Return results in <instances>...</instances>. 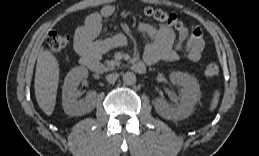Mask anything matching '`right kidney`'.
<instances>
[{
	"instance_id": "obj_1",
	"label": "right kidney",
	"mask_w": 259,
	"mask_h": 156,
	"mask_svg": "<svg viewBox=\"0 0 259 156\" xmlns=\"http://www.w3.org/2000/svg\"><path fill=\"white\" fill-rule=\"evenodd\" d=\"M87 77L88 70L84 67H75L68 72L62 87V105L66 114L80 116L95 108V91H89L84 99L78 100L77 87Z\"/></svg>"
}]
</instances>
